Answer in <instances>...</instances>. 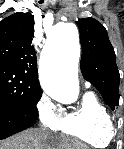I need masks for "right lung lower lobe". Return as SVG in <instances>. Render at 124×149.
Instances as JSON below:
<instances>
[{
  "label": "right lung lower lobe",
  "instance_id": "obj_1",
  "mask_svg": "<svg viewBox=\"0 0 124 149\" xmlns=\"http://www.w3.org/2000/svg\"><path fill=\"white\" fill-rule=\"evenodd\" d=\"M37 117L25 107L0 103V140L30 128Z\"/></svg>",
  "mask_w": 124,
  "mask_h": 149
}]
</instances>
